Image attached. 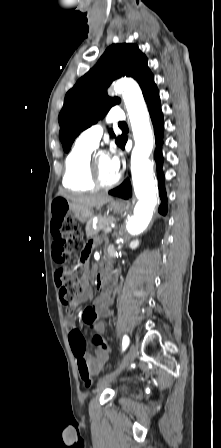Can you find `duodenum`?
<instances>
[{
  "mask_svg": "<svg viewBox=\"0 0 221 448\" xmlns=\"http://www.w3.org/2000/svg\"><path fill=\"white\" fill-rule=\"evenodd\" d=\"M107 283V269L106 266L99 272L97 276V284L100 289H103Z\"/></svg>",
  "mask_w": 221,
  "mask_h": 448,
  "instance_id": "obj_1",
  "label": "duodenum"
}]
</instances>
